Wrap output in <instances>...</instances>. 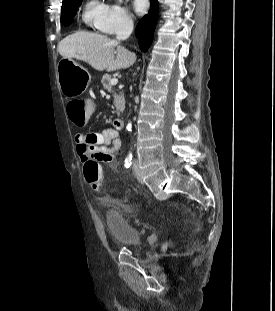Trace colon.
Listing matches in <instances>:
<instances>
[{
    "label": "colon",
    "mask_w": 275,
    "mask_h": 311,
    "mask_svg": "<svg viewBox=\"0 0 275 311\" xmlns=\"http://www.w3.org/2000/svg\"><path fill=\"white\" fill-rule=\"evenodd\" d=\"M97 104H101V97H84V100L70 101L68 112L78 129H83L87 121L97 116ZM84 177L90 188L99 190L103 183L101 165L95 160L85 163Z\"/></svg>",
    "instance_id": "colon-1"
}]
</instances>
